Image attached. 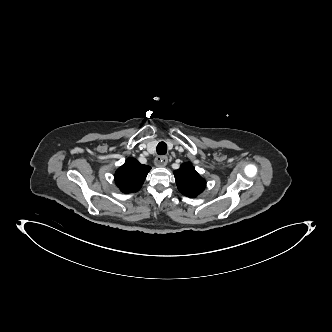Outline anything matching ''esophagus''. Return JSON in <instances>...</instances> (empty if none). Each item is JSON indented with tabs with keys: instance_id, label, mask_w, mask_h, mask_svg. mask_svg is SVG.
<instances>
[{
	"instance_id": "34e87169",
	"label": "esophagus",
	"mask_w": 332,
	"mask_h": 332,
	"mask_svg": "<svg viewBox=\"0 0 332 332\" xmlns=\"http://www.w3.org/2000/svg\"><path fill=\"white\" fill-rule=\"evenodd\" d=\"M154 163L157 167H165L168 163V158H167V156H164V155L157 156L155 158Z\"/></svg>"
}]
</instances>
